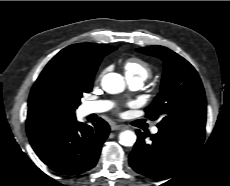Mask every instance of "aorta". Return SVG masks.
Masks as SVG:
<instances>
[{
	"label": "aorta",
	"mask_w": 230,
	"mask_h": 186,
	"mask_svg": "<svg viewBox=\"0 0 230 186\" xmlns=\"http://www.w3.org/2000/svg\"><path fill=\"white\" fill-rule=\"evenodd\" d=\"M101 86L107 93L117 94L124 90L125 81L118 73H108L102 78ZM119 142L126 147L133 146L136 142V135L131 130L122 131L119 134Z\"/></svg>",
	"instance_id": "1"
}]
</instances>
